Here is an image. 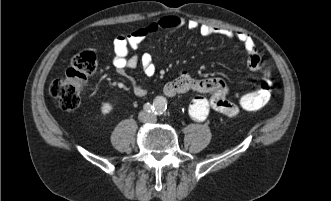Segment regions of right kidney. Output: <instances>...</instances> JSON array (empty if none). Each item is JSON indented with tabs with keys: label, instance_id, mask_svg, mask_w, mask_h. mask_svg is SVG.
I'll use <instances>...</instances> for the list:
<instances>
[{
	"label": "right kidney",
	"instance_id": "right-kidney-1",
	"mask_svg": "<svg viewBox=\"0 0 331 201\" xmlns=\"http://www.w3.org/2000/svg\"><path fill=\"white\" fill-rule=\"evenodd\" d=\"M113 109V106L112 104L106 102V103H103L102 106H101V113L103 115H107L109 114Z\"/></svg>",
	"mask_w": 331,
	"mask_h": 201
}]
</instances>
